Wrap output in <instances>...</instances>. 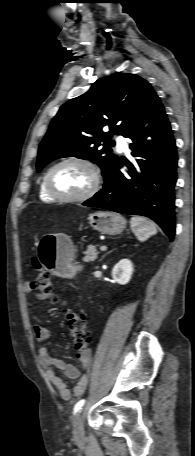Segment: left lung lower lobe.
Returning <instances> with one entry per match:
<instances>
[{"label":"left lung lower lobe","mask_w":195,"mask_h":456,"mask_svg":"<svg viewBox=\"0 0 195 456\" xmlns=\"http://www.w3.org/2000/svg\"><path fill=\"white\" fill-rule=\"evenodd\" d=\"M125 137L133 142L130 149L137 167L119 159L104 179L103 188L83 205L149 217L173 240L177 151L158 96L134 121ZM123 164L129 168L126 176L120 172Z\"/></svg>","instance_id":"1"}]
</instances>
